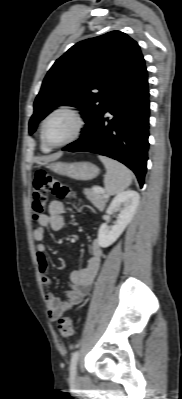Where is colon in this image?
Segmentation results:
<instances>
[{"label": "colon", "instance_id": "obj_1", "mask_svg": "<svg viewBox=\"0 0 182 399\" xmlns=\"http://www.w3.org/2000/svg\"><path fill=\"white\" fill-rule=\"evenodd\" d=\"M51 192L59 199L75 201L76 195L71 191L70 186L46 171H38L35 174L32 187V209L34 218L37 219L45 214L47 207V195ZM58 331L64 338L73 335V322L70 318L58 320Z\"/></svg>", "mask_w": 182, "mask_h": 399}]
</instances>
